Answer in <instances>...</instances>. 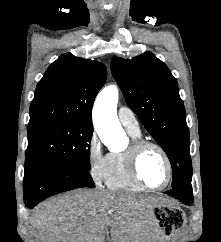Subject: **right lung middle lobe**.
I'll list each match as a JSON object with an SVG mask.
<instances>
[{
    "label": "right lung middle lobe",
    "mask_w": 221,
    "mask_h": 242,
    "mask_svg": "<svg viewBox=\"0 0 221 242\" xmlns=\"http://www.w3.org/2000/svg\"><path fill=\"white\" fill-rule=\"evenodd\" d=\"M25 163L49 160L89 171L92 125L79 122H49L28 126Z\"/></svg>",
    "instance_id": "obj_1"
}]
</instances>
